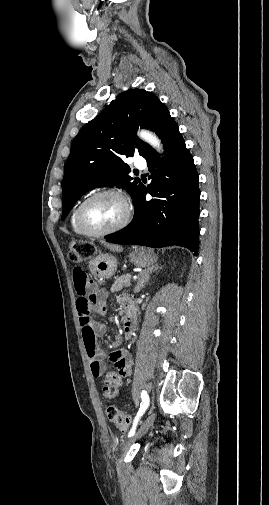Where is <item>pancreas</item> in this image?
<instances>
[{"label":"pancreas","instance_id":"pancreas-1","mask_svg":"<svg viewBox=\"0 0 269 505\" xmlns=\"http://www.w3.org/2000/svg\"><path fill=\"white\" fill-rule=\"evenodd\" d=\"M131 277H132L131 274H126L117 278L111 287V292L121 291L123 288L127 286V283L130 282Z\"/></svg>","mask_w":269,"mask_h":505}]
</instances>
